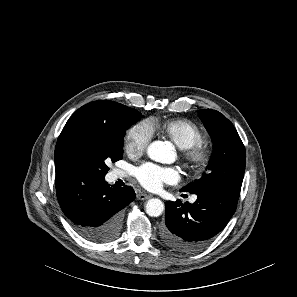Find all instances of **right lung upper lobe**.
<instances>
[{"label":"right lung upper lobe","mask_w":297,"mask_h":297,"mask_svg":"<svg viewBox=\"0 0 297 297\" xmlns=\"http://www.w3.org/2000/svg\"><path fill=\"white\" fill-rule=\"evenodd\" d=\"M122 104L99 100L79 108L65 124L55 148L56 175L70 171L66 160V147L78 131L113 133L121 128L120 107Z\"/></svg>","instance_id":"obj_1"}]
</instances>
